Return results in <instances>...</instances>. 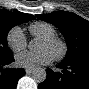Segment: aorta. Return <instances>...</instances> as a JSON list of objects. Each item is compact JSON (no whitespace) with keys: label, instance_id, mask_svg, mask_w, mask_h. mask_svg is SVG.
I'll return each mask as SVG.
<instances>
[{"label":"aorta","instance_id":"aorta-1","mask_svg":"<svg viewBox=\"0 0 89 89\" xmlns=\"http://www.w3.org/2000/svg\"><path fill=\"white\" fill-rule=\"evenodd\" d=\"M36 44L34 41L29 42L28 44V48L30 50H33L35 48ZM47 77V73L45 71V69L43 68H36L33 72H32V78L35 82L37 83H41L44 82L45 79Z\"/></svg>","mask_w":89,"mask_h":89}]
</instances>
